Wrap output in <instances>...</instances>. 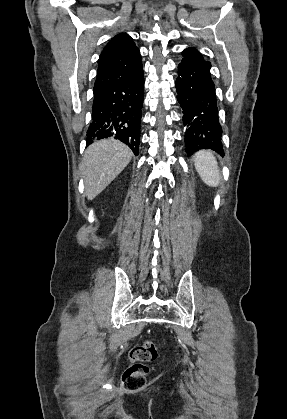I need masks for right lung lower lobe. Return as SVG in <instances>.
I'll return each mask as SVG.
<instances>
[{"mask_svg": "<svg viewBox=\"0 0 287 419\" xmlns=\"http://www.w3.org/2000/svg\"><path fill=\"white\" fill-rule=\"evenodd\" d=\"M143 93L142 65L132 74L95 89L87 145L113 137L127 144L137 156Z\"/></svg>", "mask_w": 287, "mask_h": 419, "instance_id": "98d812e1", "label": "right lung lower lobe"}]
</instances>
